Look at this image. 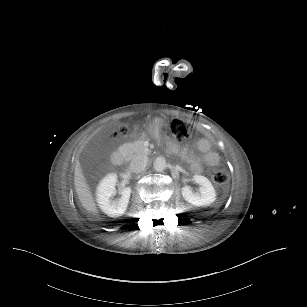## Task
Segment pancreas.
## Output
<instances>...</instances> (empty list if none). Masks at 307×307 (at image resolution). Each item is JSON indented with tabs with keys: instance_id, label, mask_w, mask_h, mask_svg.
<instances>
[{
	"instance_id": "obj_1",
	"label": "pancreas",
	"mask_w": 307,
	"mask_h": 307,
	"mask_svg": "<svg viewBox=\"0 0 307 307\" xmlns=\"http://www.w3.org/2000/svg\"><path fill=\"white\" fill-rule=\"evenodd\" d=\"M134 146H135V153H144V145H143V140L139 139L137 141L134 142Z\"/></svg>"
}]
</instances>
